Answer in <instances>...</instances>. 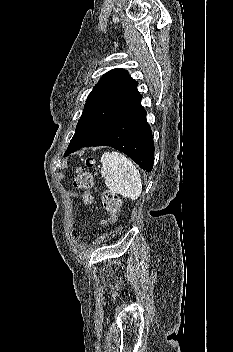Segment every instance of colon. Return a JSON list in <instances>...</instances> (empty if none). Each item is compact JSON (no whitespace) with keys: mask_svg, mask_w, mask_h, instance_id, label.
<instances>
[{"mask_svg":"<svg viewBox=\"0 0 233 352\" xmlns=\"http://www.w3.org/2000/svg\"><path fill=\"white\" fill-rule=\"evenodd\" d=\"M86 167H92L95 164V160L92 157H88L84 162ZM73 185L80 190L85 191L84 199L86 202L91 201V196L87 191L93 185L92 176L85 172L83 169L79 168L76 171L75 178L73 180ZM101 201L104 210L108 213V217L103 220V225H112L117 221L121 200L116 193L110 190H105L101 195Z\"/></svg>","mask_w":233,"mask_h":352,"instance_id":"1","label":"colon"}]
</instances>
